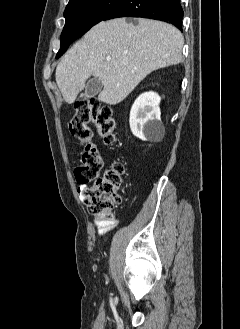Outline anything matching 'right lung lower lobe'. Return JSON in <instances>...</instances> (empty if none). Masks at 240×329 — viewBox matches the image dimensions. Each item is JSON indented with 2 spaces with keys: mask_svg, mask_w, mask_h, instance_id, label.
I'll return each instance as SVG.
<instances>
[{
  "mask_svg": "<svg viewBox=\"0 0 240 329\" xmlns=\"http://www.w3.org/2000/svg\"><path fill=\"white\" fill-rule=\"evenodd\" d=\"M183 15L179 0H121L101 21L142 17L171 23L182 31Z\"/></svg>",
  "mask_w": 240,
  "mask_h": 329,
  "instance_id": "98d812e1",
  "label": "right lung lower lobe"
}]
</instances>
